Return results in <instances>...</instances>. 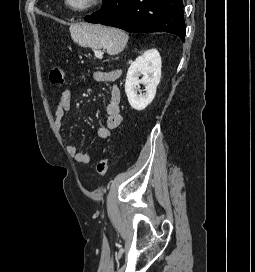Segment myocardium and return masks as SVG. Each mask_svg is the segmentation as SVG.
Wrapping results in <instances>:
<instances>
[{"instance_id": "obj_1", "label": "myocardium", "mask_w": 255, "mask_h": 272, "mask_svg": "<svg viewBox=\"0 0 255 272\" xmlns=\"http://www.w3.org/2000/svg\"><path fill=\"white\" fill-rule=\"evenodd\" d=\"M66 6L73 12L84 13L99 7L103 0H86L83 4H76L75 0H64Z\"/></svg>"}]
</instances>
